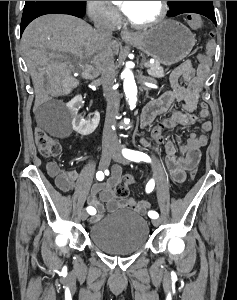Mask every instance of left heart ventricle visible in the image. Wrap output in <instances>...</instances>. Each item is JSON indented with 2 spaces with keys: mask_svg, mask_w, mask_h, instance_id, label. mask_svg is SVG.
<instances>
[{
  "mask_svg": "<svg viewBox=\"0 0 237 300\" xmlns=\"http://www.w3.org/2000/svg\"><path fill=\"white\" fill-rule=\"evenodd\" d=\"M159 10V1H134L127 16L133 21L145 23L153 20Z\"/></svg>",
  "mask_w": 237,
  "mask_h": 300,
  "instance_id": "left-heart-ventricle-1",
  "label": "left heart ventricle"
}]
</instances>
